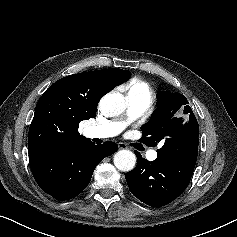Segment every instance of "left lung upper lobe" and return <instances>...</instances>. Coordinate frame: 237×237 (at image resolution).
<instances>
[{
	"label": "left lung upper lobe",
	"mask_w": 237,
	"mask_h": 237,
	"mask_svg": "<svg viewBox=\"0 0 237 237\" xmlns=\"http://www.w3.org/2000/svg\"><path fill=\"white\" fill-rule=\"evenodd\" d=\"M157 103L151 119L141 127L140 142L148 146L162 142L157 153L164 155H178L198 145L199 126L186 97L162 91Z\"/></svg>",
	"instance_id": "1"
}]
</instances>
